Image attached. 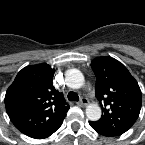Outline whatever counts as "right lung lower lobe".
<instances>
[{"instance_id":"obj_1","label":"right lung lower lobe","mask_w":145,"mask_h":145,"mask_svg":"<svg viewBox=\"0 0 145 145\" xmlns=\"http://www.w3.org/2000/svg\"><path fill=\"white\" fill-rule=\"evenodd\" d=\"M63 121L60 122L57 126H55L53 129L43 133V134H40V135H37V136H34L32 138H35V139H43V138H47L49 137L51 134H53L55 131H57L59 129V127L62 125Z\"/></svg>"}]
</instances>
